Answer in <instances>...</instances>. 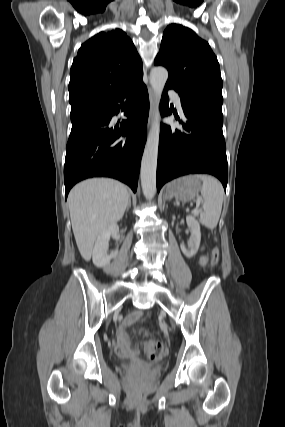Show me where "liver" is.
<instances>
[{
    "label": "liver",
    "mask_w": 285,
    "mask_h": 427,
    "mask_svg": "<svg viewBox=\"0 0 285 427\" xmlns=\"http://www.w3.org/2000/svg\"><path fill=\"white\" fill-rule=\"evenodd\" d=\"M128 200L126 186L108 178L88 179L72 188L68 196L72 230L86 261L97 237L123 217Z\"/></svg>",
    "instance_id": "6515ba94"
}]
</instances>
